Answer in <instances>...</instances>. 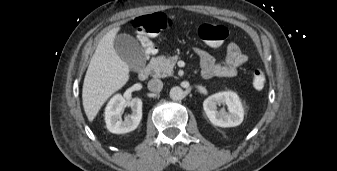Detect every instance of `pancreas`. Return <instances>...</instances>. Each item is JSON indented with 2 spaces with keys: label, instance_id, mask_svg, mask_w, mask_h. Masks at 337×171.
I'll list each match as a JSON object with an SVG mask.
<instances>
[{
  "label": "pancreas",
  "instance_id": "1",
  "mask_svg": "<svg viewBox=\"0 0 337 171\" xmlns=\"http://www.w3.org/2000/svg\"><path fill=\"white\" fill-rule=\"evenodd\" d=\"M178 56L166 58L158 56L150 61V68L153 70L154 77H167L173 74V68L178 60Z\"/></svg>",
  "mask_w": 337,
  "mask_h": 171
}]
</instances>
